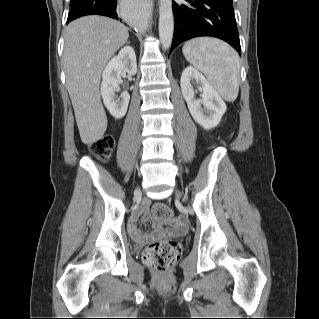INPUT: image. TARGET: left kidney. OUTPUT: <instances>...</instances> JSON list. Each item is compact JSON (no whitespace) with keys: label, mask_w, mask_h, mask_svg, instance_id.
Wrapping results in <instances>:
<instances>
[{"label":"left kidney","mask_w":319,"mask_h":319,"mask_svg":"<svg viewBox=\"0 0 319 319\" xmlns=\"http://www.w3.org/2000/svg\"><path fill=\"white\" fill-rule=\"evenodd\" d=\"M192 83H196L202 91L200 99L195 98ZM180 85L193 119L204 129L216 127L227 107L205 77L192 66H188L182 72Z\"/></svg>","instance_id":"obj_1"}]
</instances>
